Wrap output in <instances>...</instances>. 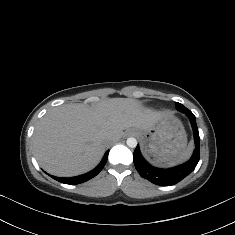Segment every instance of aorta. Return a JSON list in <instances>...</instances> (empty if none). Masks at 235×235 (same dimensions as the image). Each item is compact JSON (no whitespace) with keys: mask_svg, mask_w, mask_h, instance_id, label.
<instances>
[{"mask_svg":"<svg viewBox=\"0 0 235 235\" xmlns=\"http://www.w3.org/2000/svg\"><path fill=\"white\" fill-rule=\"evenodd\" d=\"M126 143L130 148H135L137 146V140L135 138H128Z\"/></svg>","mask_w":235,"mask_h":235,"instance_id":"obj_1","label":"aorta"}]
</instances>
